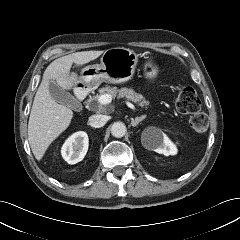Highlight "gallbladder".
<instances>
[{
  "instance_id": "1",
  "label": "gallbladder",
  "mask_w": 240,
  "mask_h": 240,
  "mask_svg": "<svg viewBox=\"0 0 240 240\" xmlns=\"http://www.w3.org/2000/svg\"><path fill=\"white\" fill-rule=\"evenodd\" d=\"M51 97L58 103L65 105L73 110H79L81 104L69 92L62 89L54 80L49 82L48 86Z\"/></svg>"
}]
</instances>
